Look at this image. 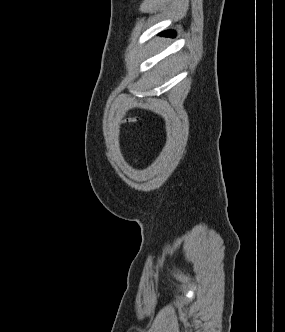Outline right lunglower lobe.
<instances>
[{"label": "right lung lower lobe", "instance_id": "98d812e1", "mask_svg": "<svg viewBox=\"0 0 285 332\" xmlns=\"http://www.w3.org/2000/svg\"><path fill=\"white\" fill-rule=\"evenodd\" d=\"M160 35L174 37L175 33L173 31H166V32L161 33Z\"/></svg>", "mask_w": 285, "mask_h": 332}]
</instances>
